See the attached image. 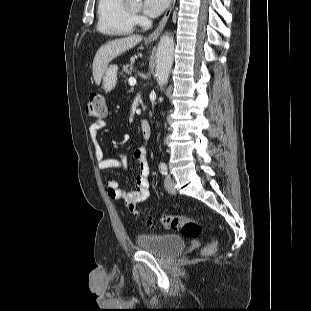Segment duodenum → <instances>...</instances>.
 Returning a JSON list of instances; mask_svg holds the SVG:
<instances>
[{"label": "duodenum", "mask_w": 311, "mask_h": 311, "mask_svg": "<svg viewBox=\"0 0 311 311\" xmlns=\"http://www.w3.org/2000/svg\"><path fill=\"white\" fill-rule=\"evenodd\" d=\"M141 130L144 140H148L151 136V125L147 120L141 122Z\"/></svg>", "instance_id": "obj_1"}]
</instances>
